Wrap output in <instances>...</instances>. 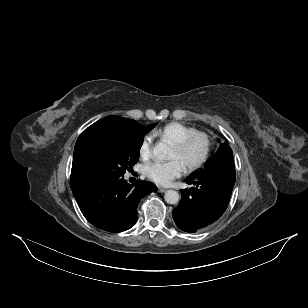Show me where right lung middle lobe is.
Returning <instances> with one entry per match:
<instances>
[{
	"mask_svg": "<svg viewBox=\"0 0 308 308\" xmlns=\"http://www.w3.org/2000/svg\"><path fill=\"white\" fill-rule=\"evenodd\" d=\"M156 125H139L132 133L111 136L97 142L89 157L92 178L123 177L126 170L132 169L138 161L144 135Z\"/></svg>",
	"mask_w": 308,
	"mask_h": 308,
	"instance_id": "obj_1",
	"label": "right lung middle lobe"
}]
</instances>
